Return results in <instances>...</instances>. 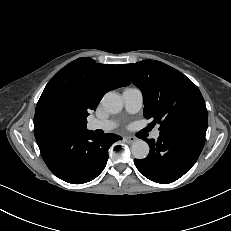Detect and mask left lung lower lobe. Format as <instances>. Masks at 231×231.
Here are the masks:
<instances>
[{
    "label": "left lung lower lobe",
    "instance_id": "0a47b994",
    "mask_svg": "<svg viewBox=\"0 0 231 231\" xmlns=\"http://www.w3.org/2000/svg\"><path fill=\"white\" fill-rule=\"evenodd\" d=\"M206 131L180 128L160 132L158 141L145 139L150 153L145 159H135L137 169L149 180L161 184L176 181L197 161Z\"/></svg>",
    "mask_w": 231,
    "mask_h": 231
}]
</instances>
